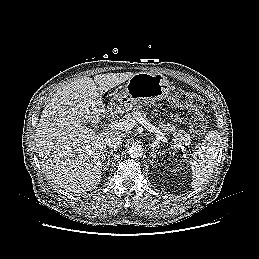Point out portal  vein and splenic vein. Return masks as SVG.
<instances>
[{
    "label": "portal vein and splenic vein",
    "instance_id": "18ae733b",
    "mask_svg": "<svg viewBox=\"0 0 259 259\" xmlns=\"http://www.w3.org/2000/svg\"><path fill=\"white\" fill-rule=\"evenodd\" d=\"M140 124H142L148 131L150 132H155L156 137H157V142L161 140L164 143H168V139L164 136V134L160 131L157 130L155 126H153L150 122L147 120H139ZM135 121L131 119H120V120H115L111 121L108 124V127L111 129H116V130H122V131H128L131 130L135 126Z\"/></svg>",
    "mask_w": 259,
    "mask_h": 259
}]
</instances>
